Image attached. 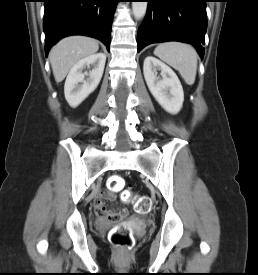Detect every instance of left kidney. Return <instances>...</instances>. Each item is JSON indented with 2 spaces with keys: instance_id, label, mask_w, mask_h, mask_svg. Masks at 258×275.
<instances>
[{
  "instance_id": "obj_1",
  "label": "left kidney",
  "mask_w": 258,
  "mask_h": 275,
  "mask_svg": "<svg viewBox=\"0 0 258 275\" xmlns=\"http://www.w3.org/2000/svg\"><path fill=\"white\" fill-rule=\"evenodd\" d=\"M160 71L161 78L157 76ZM147 86L157 102L169 113L177 114L184 101L182 85L176 73L165 63L147 56L143 65Z\"/></svg>"
}]
</instances>
